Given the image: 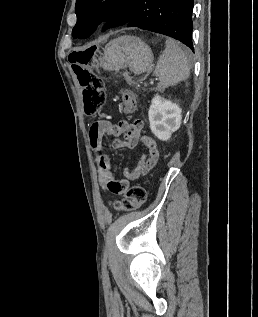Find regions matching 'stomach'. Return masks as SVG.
<instances>
[{
    "label": "stomach",
    "instance_id": "1",
    "mask_svg": "<svg viewBox=\"0 0 258 317\" xmlns=\"http://www.w3.org/2000/svg\"><path fill=\"white\" fill-rule=\"evenodd\" d=\"M100 56V66L105 70L129 68L141 74L153 66V52L146 42L137 36H119L107 42Z\"/></svg>",
    "mask_w": 258,
    "mask_h": 317
}]
</instances>
